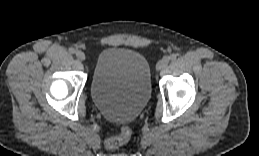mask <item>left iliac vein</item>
<instances>
[{"mask_svg": "<svg viewBox=\"0 0 259 156\" xmlns=\"http://www.w3.org/2000/svg\"><path fill=\"white\" fill-rule=\"evenodd\" d=\"M168 62H169L168 58H162L161 60L158 61L157 65H156V69L158 71L163 70L164 68L167 67Z\"/></svg>", "mask_w": 259, "mask_h": 156, "instance_id": "obj_1", "label": "left iliac vein"}]
</instances>
